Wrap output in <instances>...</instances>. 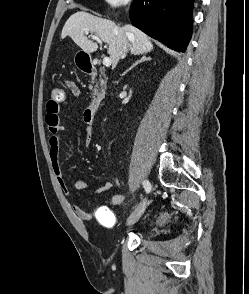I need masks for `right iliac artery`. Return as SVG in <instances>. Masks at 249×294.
I'll return each mask as SVG.
<instances>
[{
    "label": "right iliac artery",
    "mask_w": 249,
    "mask_h": 294,
    "mask_svg": "<svg viewBox=\"0 0 249 294\" xmlns=\"http://www.w3.org/2000/svg\"><path fill=\"white\" fill-rule=\"evenodd\" d=\"M143 187L145 188V191L147 193H149L151 191V184L149 183V181L145 180L143 181Z\"/></svg>",
    "instance_id": "right-iliac-artery-1"
}]
</instances>
